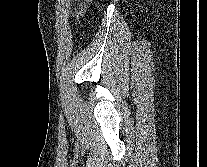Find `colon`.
Listing matches in <instances>:
<instances>
[{"instance_id":"obj_1","label":"colon","mask_w":207,"mask_h":167,"mask_svg":"<svg viewBox=\"0 0 207 167\" xmlns=\"http://www.w3.org/2000/svg\"><path fill=\"white\" fill-rule=\"evenodd\" d=\"M87 1L88 0H81L79 2V5L76 8V16H79L82 13L83 8H84V6H85V4H86Z\"/></svg>"}]
</instances>
